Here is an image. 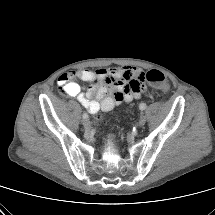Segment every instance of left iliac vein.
Here are the masks:
<instances>
[{
	"label": "left iliac vein",
	"instance_id": "obj_1",
	"mask_svg": "<svg viewBox=\"0 0 215 215\" xmlns=\"http://www.w3.org/2000/svg\"><path fill=\"white\" fill-rule=\"evenodd\" d=\"M145 122H146V117H145V115H144V114H142V115L140 116V119H139L138 125H139L140 127H142V126H144V125H145Z\"/></svg>",
	"mask_w": 215,
	"mask_h": 215
}]
</instances>
